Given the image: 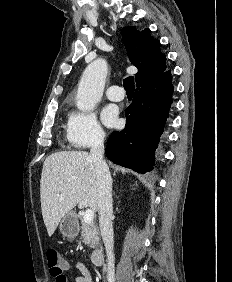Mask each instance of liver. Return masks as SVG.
<instances>
[{"label":"liver","mask_w":232,"mask_h":282,"mask_svg":"<svg viewBox=\"0 0 232 282\" xmlns=\"http://www.w3.org/2000/svg\"><path fill=\"white\" fill-rule=\"evenodd\" d=\"M40 200L49 236L76 205L97 211L96 171L88 153L62 151L48 156L41 174Z\"/></svg>","instance_id":"6515ba94"}]
</instances>
